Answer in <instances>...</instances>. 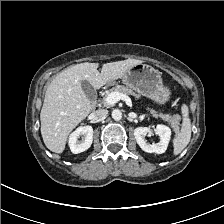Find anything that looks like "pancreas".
<instances>
[{"instance_id":"obj_1","label":"pancreas","mask_w":224,"mask_h":224,"mask_svg":"<svg viewBox=\"0 0 224 224\" xmlns=\"http://www.w3.org/2000/svg\"><path fill=\"white\" fill-rule=\"evenodd\" d=\"M112 92H119V93H122V94H126V95H132L134 96L136 99H139L140 98V95L137 94L132 88H129V87H126V86H122V85H116L115 87L109 89L106 91V94H105V97H104V106L105 107H109L110 105L106 103V97L112 93ZM151 113V115L153 117H156V118H161L163 121H166L168 122V124L174 129V131H177L178 128H179V117L177 115H169V114H163L161 112H157L153 109H148Z\"/></svg>"}]
</instances>
